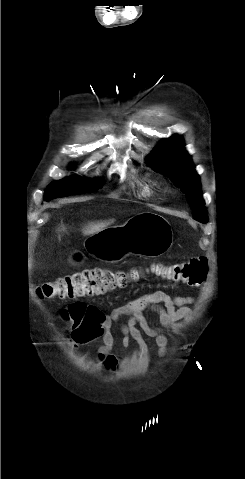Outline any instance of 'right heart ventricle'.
<instances>
[{"label": "right heart ventricle", "instance_id": "obj_1", "mask_svg": "<svg viewBox=\"0 0 245 479\" xmlns=\"http://www.w3.org/2000/svg\"><path fill=\"white\" fill-rule=\"evenodd\" d=\"M143 193L145 195H149L151 193V187L150 186H145L143 189Z\"/></svg>", "mask_w": 245, "mask_h": 479}]
</instances>
